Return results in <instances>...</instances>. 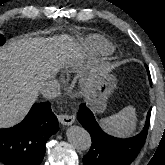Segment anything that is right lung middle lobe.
I'll use <instances>...</instances> for the list:
<instances>
[{"label":"right lung middle lobe","instance_id":"obj_1","mask_svg":"<svg viewBox=\"0 0 165 165\" xmlns=\"http://www.w3.org/2000/svg\"><path fill=\"white\" fill-rule=\"evenodd\" d=\"M5 42V38L3 37V35H0V45H3Z\"/></svg>","mask_w":165,"mask_h":165}]
</instances>
